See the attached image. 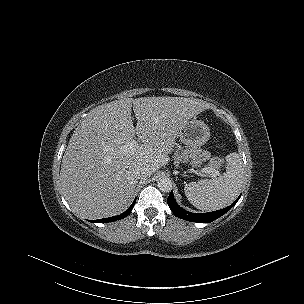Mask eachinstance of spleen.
<instances>
[{"instance_id": "1", "label": "spleen", "mask_w": 304, "mask_h": 304, "mask_svg": "<svg viewBox=\"0 0 304 304\" xmlns=\"http://www.w3.org/2000/svg\"><path fill=\"white\" fill-rule=\"evenodd\" d=\"M226 162L223 175L185 186V195L194 207L214 211L230 205L237 198L244 182L243 162L237 152L227 155Z\"/></svg>"}]
</instances>
